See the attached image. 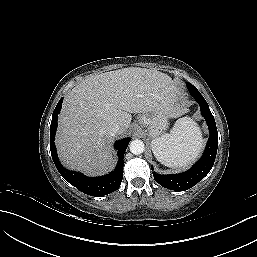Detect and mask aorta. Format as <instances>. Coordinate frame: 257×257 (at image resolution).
I'll use <instances>...</instances> for the list:
<instances>
[{
    "label": "aorta",
    "instance_id": "obj_1",
    "mask_svg": "<svg viewBox=\"0 0 257 257\" xmlns=\"http://www.w3.org/2000/svg\"><path fill=\"white\" fill-rule=\"evenodd\" d=\"M145 145L140 139H136L130 142L129 149L134 155H140L144 152Z\"/></svg>",
    "mask_w": 257,
    "mask_h": 257
}]
</instances>
